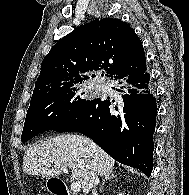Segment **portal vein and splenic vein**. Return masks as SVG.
I'll return each mask as SVG.
<instances>
[{
  "mask_svg": "<svg viewBox=\"0 0 189 195\" xmlns=\"http://www.w3.org/2000/svg\"><path fill=\"white\" fill-rule=\"evenodd\" d=\"M54 167L57 168V169L62 170L64 173L68 174V169H67V167H65V166L60 165V164H56V165H54ZM70 188H71V191H72L73 193H77V192H79L80 189H81V184H80L79 181H73V182L71 183V187H70Z\"/></svg>",
  "mask_w": 189,
  "mask_h": 195,
  "instance_id": "obj_1",
  "label": "portal vein and splenic vein"
}]
</instances>
